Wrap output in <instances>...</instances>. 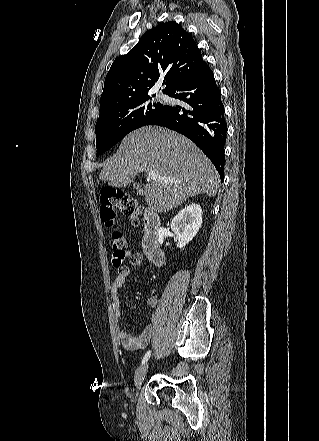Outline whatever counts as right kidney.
Masks as SVG:
<instances>
[{
	"mask_svg": "<svg viewBox=\"0 0 319 441\" xmlns=\"http://www.w3.org/2000/svg\"><path fill=\"white\" fill-rule=\"evenodd\" d=\"M202 224L200 205L191 203L183 208L172 220L171 229L178 240L177 247H185L197 234Z\"/></svg>",
	"mask_w": 319,
	"mask_h": 441,
	"instance_id": "1",
	"label": "right kidney"
}]
</instances>
